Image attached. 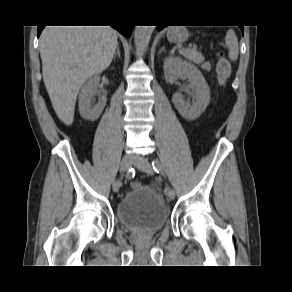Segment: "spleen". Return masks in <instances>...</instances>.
Listing matches in <instances>:
<instances>
[{
  "instance_id": "spleen-1",
  "label": "spleen",
  "mask_w": 292,
  "mask_h": 292,
  "mask_svg": "<svg viewBox=\"0 0 292 292\" xmlns=\"http://www.w3.org/2000/svg\"><path fill=\"white\" fill-rule=\"evenodd\" d=\"M226 45L229 49V59L235 61L238 58V40L232 29L228 30L225 38Z\"/></svg>"
}]
</instances>
